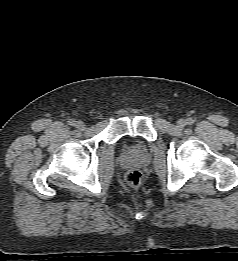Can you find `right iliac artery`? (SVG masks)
I'll use <instances>...</instances> for the list:
<instances>
[{
    "instance_id": "1",
    "label": "right iliac artery",
    "mask_w": 238,
    "mask_h": 261,
    "mask_svg": "<svg viewBox=\"0 0 238 261\" xmlns=\"http://www.w3.org/2000/svg\"><path fill=\"white\" fill-rule=\"evenodd\" d=\"M68 123H69V125H71V126H75V125H76V121L73 120V119L69 120Z\"/></svg>"
}]
</instances>
